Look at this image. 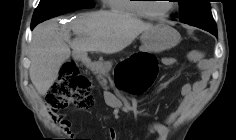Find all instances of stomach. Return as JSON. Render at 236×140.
Listing matches in <instances>:
<instances>
[{"label":"stomach","instance_id":"0dacf381","mask_svg":"<svg viewBox=\"0 0 236 140\" xmlns=\"http://www.w3.org/2000/svg\"><path fill=\"white\" fill-rule=\"evenodd\" d=\"M141 51L162 52L171 49L178 45L181 40L179 32L166 23H159L153 26L148 31H145L142 36Z\"/></svg>","mask_w":236,"mask_h":140}]
</instances>
